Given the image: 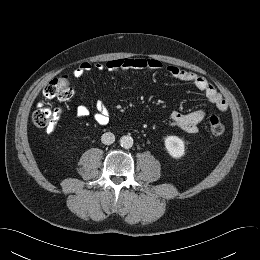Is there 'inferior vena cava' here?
<instances>
[{
  "mask_svg": "<svg viewBox=\"0 0 260 260\" xmlns=\"http://www.w3.org/2000/svg\"><path fill=\"white\" fill-rule=\"evenodd\" d=\"M101 141L103 144L105 145H110L112 143H114L115 141V136L113 133L111 132H106L101 136Z\"/></svg>",
  "mask_w": 260,
  "mask_h": 260,
  "instance_id": "inferior-vena-cava-1",
  "label": "inferior vena cava"
}]
</instances>
